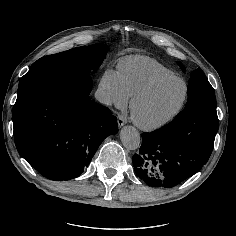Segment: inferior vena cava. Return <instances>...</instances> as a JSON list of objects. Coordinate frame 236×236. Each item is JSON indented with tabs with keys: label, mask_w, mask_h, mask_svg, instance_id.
<instances>
[{
	"label": "inferior vena cava",
	"mask_w": 236,
	"mask_h": 236,
	"mask_svg": "<svg viewBox=\"0 0 236 236\" xmlns=\"http://www.w3.org/2000/svg\"><path fill=\"white\" fill-rule=\"evenodd\" d=\"M95 98L98 102L104 105H110L112 103V97L109 90L99 87L95 93Z\"/></svg>",
	"instance_id": "obj_1"
}]
</instances>
